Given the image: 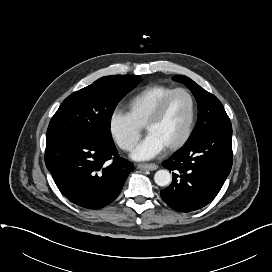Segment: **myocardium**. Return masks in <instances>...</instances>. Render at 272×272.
Returning <instances> with one entry per match:
<instances>
[{
  "label": "myocardium",
  "mask_w": 272,
  "mask_h": 272,
  "mask_svg": "<svg viewBox=\"0 0 272 272\" xmlns=\"http://www.w3.org/2000/svg\"><path fill=\"white\" fill-rule=\"evenodd\" d=\"M179 93L185 94L190 101V105H191L190 118H189V122H188L187 128H186L183 136L177 142H175L174 144H172L166 148V150L169 152H174V151L180 149L181 147H183L188 142V140L190 139V137L194 131V128L196 125V120H197V103H196V100H195L193 94L186 88H175L174 90L169 92L158 103V105L155 107V109L153 110V112L151 113L150 117L148 118V120L145 124V129L148 130V128L150 126L157 123L161 119V117L163 116L171 99Z\"/></svg>",
  "instance_id": "f54148a6"
}]
</instances>
